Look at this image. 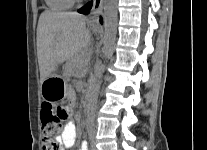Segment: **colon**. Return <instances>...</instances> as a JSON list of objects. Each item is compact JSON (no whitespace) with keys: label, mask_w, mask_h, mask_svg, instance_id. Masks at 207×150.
<instances>
[{"label":"colon","mask_w":207,"mask_h":150,"mask_svg":"<svg viewBox=\"0 0 207 150\" xmlns=\"http://www.w3.org/2000/svg\"><path fill=\"white\" fill-rule=\"evenodd\" d=\"M69 108L66 105H54L45 103L42 106L41 122L44 136V150H59L56 137L61 131L62 123L69 116Z\"/></svg>","instance_id":"obj_1"}]
</instances>
